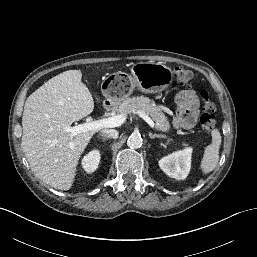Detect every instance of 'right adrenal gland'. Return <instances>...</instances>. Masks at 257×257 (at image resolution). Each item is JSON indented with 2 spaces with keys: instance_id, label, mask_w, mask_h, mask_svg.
Segmentation results:
<instances>
[{
  "instance_id": "obj_1",
  "label": "right adrenal gland",
  "mask_w": 257,
  "mask_h": 257,
  "mask_svg": "<svg viewBox=\"0 0 257 257\" xmlns=\"http://www.w3.org/2000/svg\"><path fill=\"white\" fill-rule=\"evenodd\" d=\"M99 139H102V141H106L108 139V137L106 135L101 134L100 136H98Z\"/></svg>"
}]
</instances>
